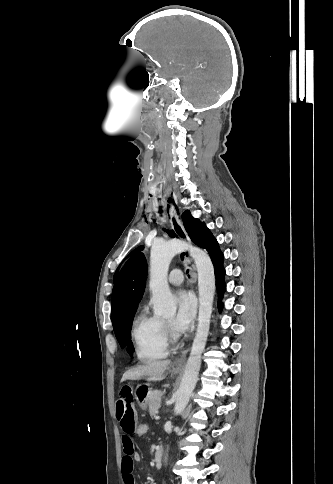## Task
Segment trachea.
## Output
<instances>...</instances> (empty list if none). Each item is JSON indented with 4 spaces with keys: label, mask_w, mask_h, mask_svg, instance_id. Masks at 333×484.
Segmentation results:
<instances>
[{
    "label": "trachea",
    "mask_w": 333,
    "mask_h": 484,
    "mask_svg": "<svg viewBox=\"0 0 333 484\" xmlns=\"http://www.w3.org/2000/svg\"><path fill=\"white\" fill-rule=\"evenodd\" d=\"M156 176H157V177H160V176H161V173H160V172H157V173H156ZM155 185H156V186H155V188H154V189H155V191H156L157 193H160V192L162 191V189H163V188H162V186H161V182H160V181H156V182H155ZM159 213H160V214L162 213V210H161V209L159 210ZM164 230H165V229H164ZM165 231H167V232H168V233L171 235V233H170L168 230H165ZM188 273H189V271L187 270V274H188ZM188 276L190 277V275H188Z\"/></svg>",
    "instance_id": "3493384b"
}]
</instances>
